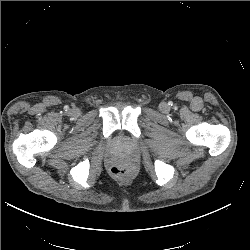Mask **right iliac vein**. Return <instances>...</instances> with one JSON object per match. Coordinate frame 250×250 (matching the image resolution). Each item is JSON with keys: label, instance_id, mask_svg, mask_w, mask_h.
Instances as JSON below:
<instances>
[{"label": "right iliac vein", "instance_id": "1", "mask_svg": "<svg viewBox=\"0 0 250 250\" xmlns=\"http://www.w3.org/2000/svg\"><path fill=\"white\" fill-rule=\"evenodd\" d=\"M78 113H79L78 110H72V111H71V115H73V116H76Z\"/></svg>", "mask_w": 250, "mask_h": 250}]
</instances>
